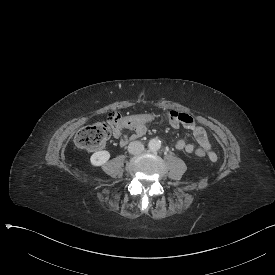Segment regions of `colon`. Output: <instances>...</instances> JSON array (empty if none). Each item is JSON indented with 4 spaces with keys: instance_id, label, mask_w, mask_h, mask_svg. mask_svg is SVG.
Wrapping results in <instances>:
<instances>
[{
    "instance_id": "5ec220e1",
    "label": "colon",
    "mask_w": 275,
    "mask_h": 275,
    "mask_svg": "<svg viewBox=\"0 0 275 275\" xmlns=\"http://www.w3.org/2000/svg\"><path fill=\"white\" fill-rule=\"evenodd\" d=\"M156 113H145L143 115H135L134 117H122L119 115L118 111H111L104 122H98L90 126L83 127L78 131L75 137V144L80 149L84 150H99L101 149L106 141L111 137L112 130L115 128V125L118 127H131L135 124H143L145 122H156L157 121ZM195 154L198 157H204L206 152L203 148H197Z\"/></svg>"
}]
</instances>
